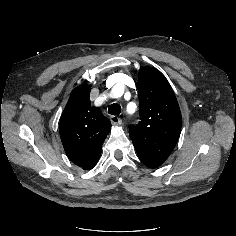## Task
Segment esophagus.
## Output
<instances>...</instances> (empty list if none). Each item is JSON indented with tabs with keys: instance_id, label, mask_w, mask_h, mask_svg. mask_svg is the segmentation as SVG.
<instances>
[{
	"instance_id": "1",
	"label": "esophagus",
	"mask_w": 236,
	"mask_h": 236,
	"mask_svg": "<svg viewBox=\"0 0 236 236\" xmlns=\"http://www.w3.org/2000/svg\"><path fill=\"white\" fill-rule=\"evenodd\" d=\"M110 121L113 125H120L121 124V119L117 116H111Z\"/></svg>"
}]
</instances>
